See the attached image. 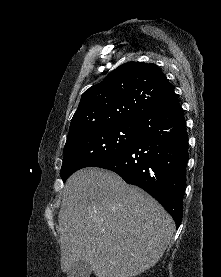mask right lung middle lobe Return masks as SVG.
I'll list each match as a JSON object with an SVG mask.
<instances>
[{
    "label": "right lung middle lobe",
    "instance_id": "right-lung-middle-lobe-1",
    "mask_svg": "<svg viewBox=\"0 0 221 277\" xmlns=\"http://www.w3.org/2000/svg\"><path fill=\"white\" fill-rule=\"evenodd\" d=\"M135 122L93 127L67 139L60 175L63 182L75 171L97 166L123 154L135 135Z\"/></svg>",
    "mask_w": 221,
    "mask_h": 277
}]
</instances>
